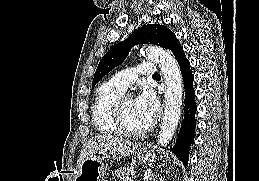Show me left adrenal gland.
<instances>
[{"label": "left adrenal gland", "instance_id": "left-adrenal-gland-1", "mask_svg": "<svg viewBox=\"0 0 259 181\" xmlns=\"http://www.w3.org/2000/svg\"><path fill=\"white\" fill-rule=\"evenodd\" d=\"M154 176H155V175L152 174V175L150 176L149 180L151 181ZM153 181H156V180L153 179ZM160 181H162V180H160Z\"/></svg>", "mask_w": 259, "mask_h": 181}]
</instances>
